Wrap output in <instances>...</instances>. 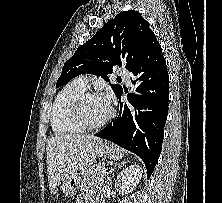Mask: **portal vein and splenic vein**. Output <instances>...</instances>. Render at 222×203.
<instances>
[{
    "mask_svg": "<svg viewBox=\"0 0 222 203\" xmlns=\"http://www.w3.org/2000/svg\"><path fill=\"white\" fill-rule=\"evenodd\" d=\"M105 170H106L105 167H103V171H104V172H105Z\"/></svg>",
    "mask_w": 222,
    "mask_h": 203,
    "instance_id": "obj_1",
    "label": "portal vein and splenic vein"
}]
</instances>
